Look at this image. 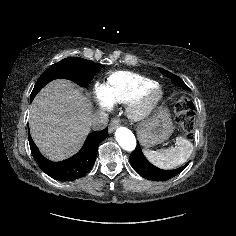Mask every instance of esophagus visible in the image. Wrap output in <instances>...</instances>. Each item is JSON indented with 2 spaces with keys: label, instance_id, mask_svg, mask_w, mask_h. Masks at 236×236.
Masks as SVG:
<instances>
[{
  "label": "esophagus",
  "instance_id": "obj_1",
  "mask_svg": "<svg viewBox=\"0 0 236 236\" xmlns=\"http://www.w3.org/2000/svg\"><path fill=\"white\" fill-rule=\"evenodd\" d=\"M119 126V120L117 118H114L111 120L109 124V132H113L117 127Z\"/></svg>",
  "mask_w": 236,
  "mask_h": 236
}]
</instances>
